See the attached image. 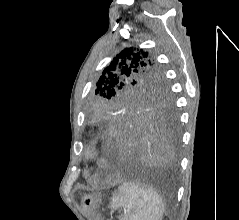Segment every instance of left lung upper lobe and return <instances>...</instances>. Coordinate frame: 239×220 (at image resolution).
<instances>
[{
  "label": "left lung upper lobe",
  "mask_w": 239,
  "mask_h": 220,
  "mask_svg": "<svg viewBox=\"0 0 239 220\" xmlns=\"http://www.w3.org/2000/svg\"><path fill=\"white\" fill-rule=\"evenodd\" d=\"M96 86L87 106V118L92 124L108 108H147L171 114L175 110L162 67L142 49L127 48L114 57Z\"/></svg>",
  "instance_id": "obj_1"
}]
</instances>
